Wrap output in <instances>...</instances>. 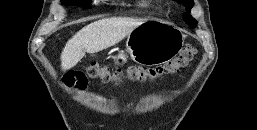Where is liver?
Listing matches in <instances>:
<instances>
[{
    "label": "liver",
    "mask_w": 257,
    "mask_h": 130,
    "mask_svg": "<svg viewBox=\"0 0 257 130\" xmlns=\"http://www.w3.org/2000/svg\"><path fill=\"white\" fill-rule=\"evenodd\" d=\"M147 19L104 18L83 27L68 40L61 53L63 71L73 68L85 55L114 46Z\"/></svg>",
    "instance_id": "1"
}]
</instances>
